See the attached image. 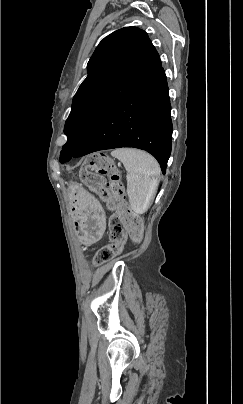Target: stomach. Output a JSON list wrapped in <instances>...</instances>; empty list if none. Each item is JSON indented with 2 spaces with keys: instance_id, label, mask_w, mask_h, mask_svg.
I'll return each instance as SVG.
<instances>
[{
  "instance_id": "0dacf381",
  "label": "stomach",
  "mask_w": 243,
  "mask_h": 404,
  "mask_svg": "<svg viewBox=\"0 0 243 404\" xmlns=\"http://www.w3.org/2000/svg\"><path fill=\"white\" fill-rule=\"evenodd\" d=\"M69 195L79 239L87 245L95 243L102 237L106 226L105 213L100 203L76 182L69 184Z\"/></svg>"
}]
</instances>
